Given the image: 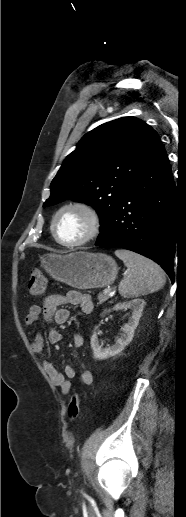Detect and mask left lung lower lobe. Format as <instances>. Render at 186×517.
I'll use <instances>...</instances> for the list:
<instances>
[{
  "label": "left lung lower lobe",
  "instance_id": "1",
  "mask_svg": "<svg viewBox=\"0 0 186 517\" xmlns=\"http://www.w3.org/2000/svg\"><path fill=\"white\" fill-rule=\"evenodd\" d=\"M176 186L163 146L131 183L96 245L128 249L158 263L174 281Z\"/></svg>",
  "mask_w": 186,
  "mask_h": 517
}]
</instances>
